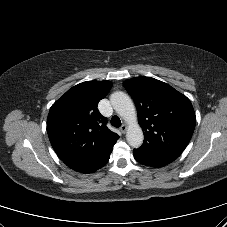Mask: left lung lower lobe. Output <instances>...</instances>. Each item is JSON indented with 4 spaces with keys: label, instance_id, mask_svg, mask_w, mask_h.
<instances>
[{
    "label": "left lung lower lobe",
    "instance_id": "1",
    "mask_svg": "<svg viewBox=\"0 0 227 227\" xmlns=\"http://www.w3.org/2000/svg\"><path fill=\"white\" fill-rule=\"evenodd\" d=\"M133 155L139 163L150 167H163L178 158V156L169 154L164 151H149L141 147L134 149Z\"/></svg>",
    "mask_w": 227,
    "mask_h": 227
}]
</instances>
